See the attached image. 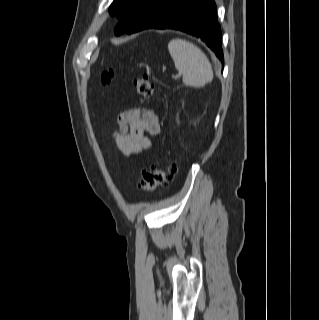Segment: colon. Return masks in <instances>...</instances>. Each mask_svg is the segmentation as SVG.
Instances as JSON below:
<instances>
[{
  "instance_id": "colon-1",
  "label": "colon",
  "mask_w": 319,
  "mask_h": 320,
  "mask_svg": "<svg viewBox=\"0 0 319 320\" xmlns=\"http://www.w3.org/2000/svg\"><path fill=\"white\" fill-rule=\"evenodd\" d=\"M113 78V71H105L101 75L103 84L109 83ZM137 93L142 98H150L153 95V84L147 77H140L135 80ZM176 172V165L168 163L166 165H152L149 169L142 173L138 181V187L144 191H155L161 187L167 186Z\"/></svg>"
}]
</instances>
